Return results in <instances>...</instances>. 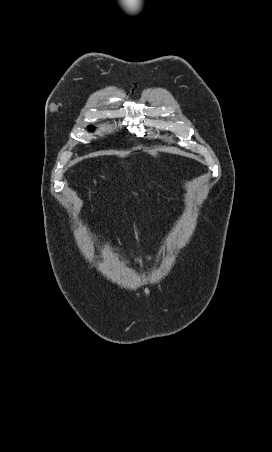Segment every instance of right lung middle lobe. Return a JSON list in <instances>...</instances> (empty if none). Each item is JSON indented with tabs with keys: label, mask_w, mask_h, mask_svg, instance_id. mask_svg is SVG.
<instances>
[{
	"label": "right lung middle lobe",
	"mask_w": 272,
	"mask_h": 452,
	"mask_svg": "<svg viewBox=\"0 0 272 452\" xmlns=\"http://www.w3.org/2000/svg\"><path fill=\"white\" fill-rule=\"evenodd\" d=\"M90 130H93V127H89Z\"/></svg>",
	"instance_id": "1"
}]
</instances>
